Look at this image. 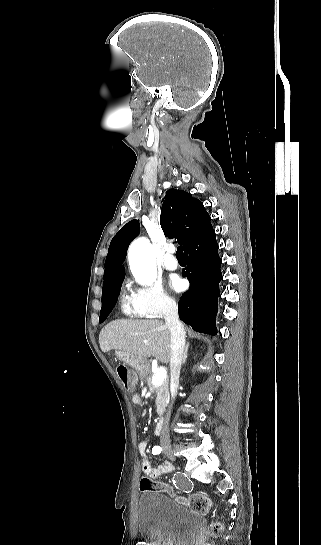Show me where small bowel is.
I'll return each mask as SVG.
<instances>
[{
    "label": "small bowel",
    "mask_w": 321,
    "mask_h": 545,
    "mask_svg": "<svg viewBox=\"0 0 321 545\" xmlns=\"http://www.w3.org/2000/svg\"><path fill=\"white\" fill-rule=\"evenodd\" d=\"M132 400L137 405L142 404V398L138 394H135ZM147 446H148V440L141 441L138 445V451H139L140 461H141V469L143 473L151 477L152 479H155L164 474L171 473L173 470V467L169 463H164L155 468L151 466V463L147 456Z\"/></svg>",
    "instance_id": "1"
}]
</instances>
